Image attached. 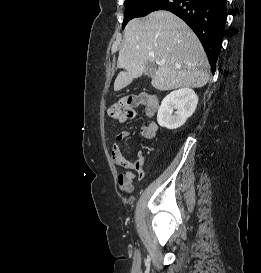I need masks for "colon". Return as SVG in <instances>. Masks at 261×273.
<instances>
[{
  "label": "colon",
  "instance_id": "1",
  "mask_svg": "<svg viewBox=\"0 0 261 273\" xmlns=\"http://www.w3.org/2000/svg\"><path fill=\"white\" fill-rule=\"evenodd\" d=\"M139 102L140 98L138 96H124L110 106L109 115L114 119L131 118L135 115L134 106Z\"/></svg>",
  "mask_w": 261,
  "mask_h": 273
}]
</instances>
